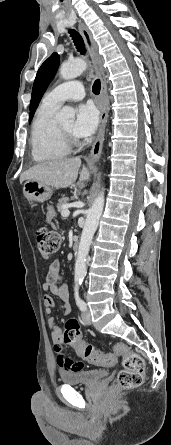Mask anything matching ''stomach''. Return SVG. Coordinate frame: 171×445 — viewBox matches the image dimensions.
I'll list each match as a JSON object with an SVG mask.
<instances>
[{
	"label": "stomach",
	"mask_w": 171,
	"mask_h": 445,
	"mask_svg": "<svg viewBox=\"0 0 171 445\" xmlns=\"http://www.w3.org/2000/svg\"><path fill=\"white\" fill-rule=\"evenodd\" d=\"M53 193V189L47 185L33 180H28L23 185V195L29 202H44Z\"/></svg>",
	"instance_id": "1"
}]
</instances>
